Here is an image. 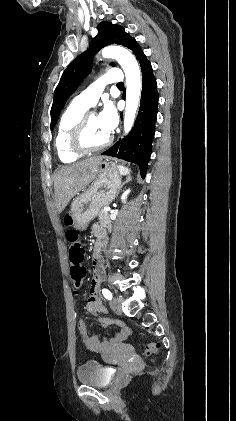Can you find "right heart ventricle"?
<instances>
[{"label": "right heart ventricle", "instance_id": "right-heart-ventricle-1", "mask_svg": "<svg viewBox=\"0 0 236 421\" xmlns=\"http://www.w3.org/2000/svg\"><path fill=\"white\" fill-rule=\"evenodd\" d=\"M86 108L73 101L60 117L55 147L61 162L70 164L77 161L81 155L74 152L69 144V133L77 119L85 112Z\"/></svg>", "mask_w": 236, "mask_h": 421}]
</instances>
